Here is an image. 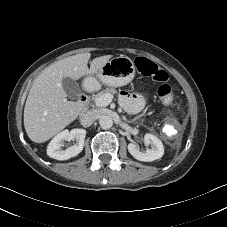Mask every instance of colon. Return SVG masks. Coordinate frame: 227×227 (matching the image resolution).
Wrapping results in <instances>:
<instances>
[{
  "label": "colon",
  "instance_id": "1",
  "mask_svg": "<svg viewBox=\"0 0 227 227\" xmlns=\"http://www.w3.org/2000/svg\"><path fill=\"white\" fill-rule=\"evenodd\" d=\"M136 68L140 74L148 76L155 81L161 82L162 84L157 90L158 98L165 105L173 104L174 92L171 86L166 83L168 80V74L164 69L143 57H139L136 60Z\"/></svg>",
  "mask_w": 227,
  "mask_h": 227
}]
</instances>
